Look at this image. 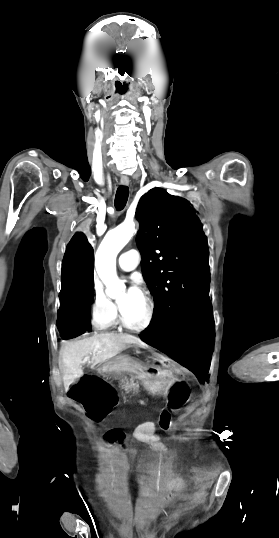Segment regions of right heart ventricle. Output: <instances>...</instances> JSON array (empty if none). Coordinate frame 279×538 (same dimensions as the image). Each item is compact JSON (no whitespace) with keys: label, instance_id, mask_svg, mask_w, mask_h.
<instances>
[{"label":"right heart ventricle","instance_id":"obj_1","mask_svg":"<svg viewBox=\"0 0 279 538\" xmlns=\"http://www.w3.org/2000/svg\"><path fill=\"white\" fill-rule=\"evenodd\" d=\"M137 230L138 224L135 212L132 210H127L123 222L117 228L111 230L110 233H115L117 235H132L135 234ZM117 320L118 315L116 313L111 323H115Z\"/></svg>","mask_w":279,"mask_h":538}]
</instances>
